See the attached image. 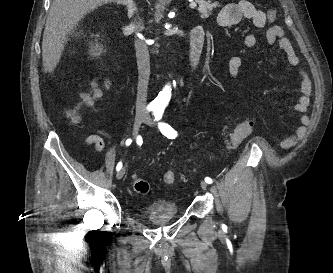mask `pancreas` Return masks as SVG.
<instances>
[{
    "instance_id": "pancreas-1",
    "label": "pancreas",
    "mask_w": 333,
    "mask_h": 273,
    "mask_svg": "<svg viewBox=\"0 0 333 273\" xmlns=\"http://www.w3.org/2000/svg\"><path fill=\"white\" fill-rule=\"evenodd\" d=\"M199 4L198 11L201 14V18L206 19L211 14V11L217 6L216 4H210L206 0H196Z\"/></svg>"
}]
</instances>
